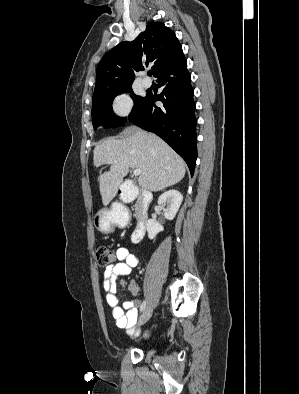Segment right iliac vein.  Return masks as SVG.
Instances as JSON below:
<instances>
[{
    "instance_id": "63e3f726",
    "label": "right iliac vein",
    "mask_w": 299,
    "mask_h": 394,
    "mask_svg": "<svg viewBox=\"0 0 299 394\" xmlns=\"http://www.w3.org/2000/svg\"><path fill=\"white\" fill-rule=\"evenodd\" d=\"M151 316H152V309L150 307H147L146 309H144L143 313L139 318L138 326L145 324L150 319Z\"/></svg>"
}]
</instances>
